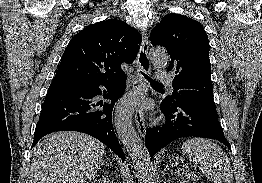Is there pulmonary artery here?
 <instances>
[{
    "mask_svg": "<svg viewBox=\"0 0 262 183\" xmlns=\"http://www.w3.org/2000/svg\"><path fill=\"white\" fill-rule=\"evenodd\" d=\"M158 80L162 83H165L167 85H171V78L169 76H162V75H158L157 76Z\"/></svg>",
    "mask_w": 262,
    "mask_h": 183,
    "instance_id": "1",
    "label": "pulmonary artery"
}]
</instances>
